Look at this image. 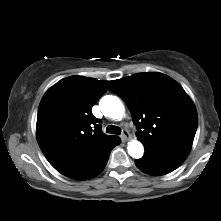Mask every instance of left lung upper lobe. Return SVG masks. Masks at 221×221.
Masks as SVG:
<instances>
[{"label":"left lung upper lobe","mask_w":221,"mask_h":221,"mask_svg":"<svg viewBox=\"0 0 221 221\" xmlns=\"http://www.w3.org/2000/svg\"><path fill=\"white\" fill-rule=\"evenodd\" d=\"M109 90L125 101L145 149L191 148L197 112L175 80L161 73H138L115 80Z\"/></svg>","instance_id":"obj_1"}]
</instances>
